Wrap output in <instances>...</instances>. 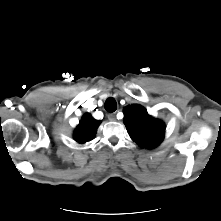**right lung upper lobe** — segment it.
<instances>
[{
    "label": "right lung upper lobe",
    "instance_id": "1",
    "mask_svg": "<svg viewBox=\"0 0 221 221\" xmlns=\"http://www.w3.org/2000/svg\"><path fill=\"white\" fill-rule=\"evenodd\" d=\"M99 124L100 121L95 120L89 113H86L75 129L74 139L79 143L92 140Z\"/></svg>",
    "mask_w": 221,
    "mask_h": 221
}]
</instances>
